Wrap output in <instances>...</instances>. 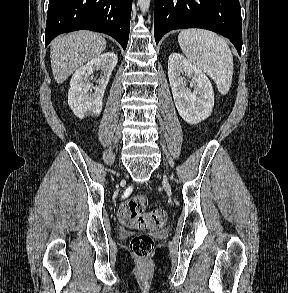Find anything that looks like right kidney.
Here are the masks:
<instances>
[{
    "label": "right kidney",
    "mask_w": 288,
    "mask_h": 293,
    "mask_svg": "<svg viewBox=\"0 0 288 293\" xmlns=\"http://www.w3.org/2000/svg\"><path fill=\"white\" fill-rule=\"evenodd\" d=\"M117 61L115 53L107 52L93 58L73 74L68 92V104L77 117L82 119L88 113L100 114L103 95ZM94 71L102 73L96 87H92L89 82ZM92 88L94 93H89Z\"/></svg>",
    "instance_id": "ca27d5eb"
}]
</instances>
